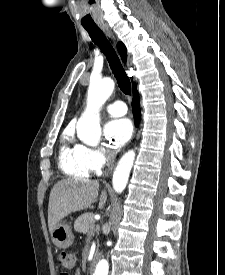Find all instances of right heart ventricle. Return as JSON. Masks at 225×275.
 Returning <instances> with one entry per match:
<instances>
[{
	"mask_svg": "<svg viewBox=\"0 0 225 275\" xmlns=\"http://www.w3.org/2000/svg\"><path fill=\"white\" fill-rule=\"evenodd\" d=\"M69 134L66 135V138ZM59 164L62 171L73 177L87 178L91 170L82 158L77 146L63 145L60 151Z\"/></svg>",
	"mask_w": 225,
	"mask_h": 275,
	"instance_id": "e07e8e85",
	"label": "right heart ventricle"
}]
</instances>
